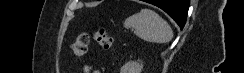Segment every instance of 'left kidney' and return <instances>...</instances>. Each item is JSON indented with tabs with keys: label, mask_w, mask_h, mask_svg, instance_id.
<instances>
[{
	"label": "left kidney",
	"mask_w": 244,
	"mask_h": 73,
	"mask_svg": "<svg viewBox=\"0 0 244 73\" xmlns=\"http://www.w3.org/2000/svg\"><path fill=\"white\" fill-rule=\"evenodd\" d=\"M142 70L143 63L139 61H129L121 67L120 73H141Z\"/></svg>",
	"instance_id": "1"
}]
</instances>
